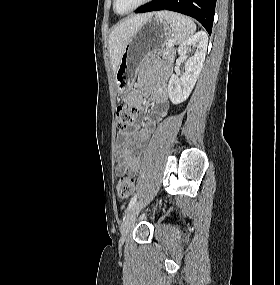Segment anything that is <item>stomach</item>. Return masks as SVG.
<instances>
[{
	"label": "stomach",
	"instance_id": "1",
	"mask_svg": "<svg viewBox=\"0 0 280 285\" xmlns=\"http://www.w3.org/2000/svg\"><path fill=\"white\" fill-rule=\"evenodd\" d=\"M172 35L171 25L158 16L148 19L138 28L127 43L115 73L120 95H126L131 90L141 61L149 53L163 48Z\"/></svg>",
	"mask_w": 280,
	"mask_h": 285
}]
</instances>
